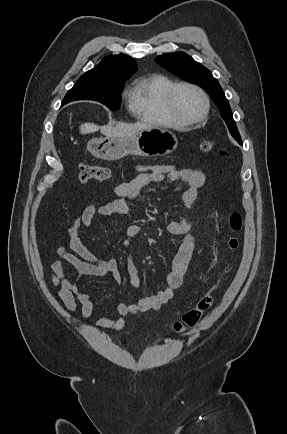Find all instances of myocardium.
Here are the masks:
<instances>
[{"mask_svg":"<svg viewBox=\"0 0 287 434\" xmlns=\"http://www.w3.org/2000/svg\"><path fill=\"white\" fill-rule=\"evenodd\" d=\"M184 87L190 88L195 92H197L203 102L202 114L195 119H191V120L184 119L177 113L175 109L176 93L180 88H184ZM165 104L169 115L181 126L195 125L203 122L206 119L210 108L209 99L205 91L200 86L190 82L174 83L166 93Z\"/></svg>","mask_w":287,"mask_h":434,"instance_id":"myocardium-1","label":"myocardium"}]
</instances>
